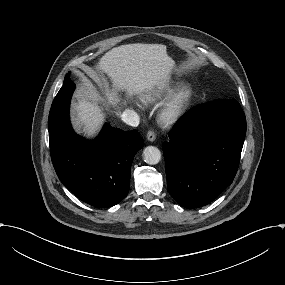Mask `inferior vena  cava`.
<instances>
[{
    "mask_svg": "<svg viewBox=\"0 0 285 285\" xmlns=\"http://www.w3.org/2000/svg\"><path fill=\"white\" fill-rule=\"evenodd\" d=\"M121 119L123 122L133 127H137L140 122L139 115L131 109H125L121 115Z\"/></svg>",
    "mask_w": 285,
    "mask_h": 285,
    "instance_id": "602c4592",
    "label": "inferior vena cava"
}]
</instances>
